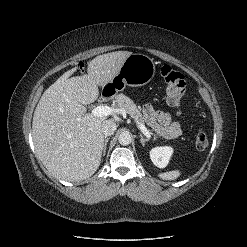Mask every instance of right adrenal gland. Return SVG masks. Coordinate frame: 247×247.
Here are the masks:
<instances>
[{
    "label": "right adrenal gland",
    "mask_w": 247,
    "mask_h": 247,
    "mask_svg": "<svg viewBox=\"0 0 247 247\" xmlns=\"http://www.w3.org/2000/svg\"><path fill=\"white\" fill-rule=\"evenodd\" d=\"M108 141H109V137H105L104 144H103V151H102L103 156H105V154H106V148H107Z\"/></svg>",
    "instance_id": "right-adrenal-gland-1"
}]
</instances>
